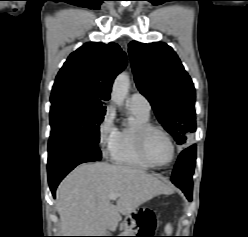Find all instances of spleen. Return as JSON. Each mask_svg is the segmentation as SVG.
<instances>
[{"mask_svg": "<svg viewBox=\"0 0 248 237\" xmlns=\"http://www.w3.org/2000/svg\"><path fill=\"white\" fill-rule=\"evenodd\" d=\"M165 231L166 233L170 234L172 232V228L170 226V224H167L166 227H165Z\"/></svg>", "mask_w": 248, "mask_h": 237, "instance_id": "1", "label": "spleen"}]
</instances>
